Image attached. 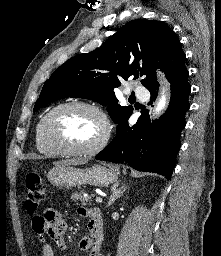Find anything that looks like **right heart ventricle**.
<instances>
[{"mask_svg": "<svg viewBox=\"0 0 221 256\" xmlns=\"http://www.w3.org/2000/svg\"><path fill=\"white\" fill-rule=\"evenodd\" d=\"M41 121H42V119L37 123L36 128H35L36 148L40 153H42L46 156H56L60 153L58 151L54 150L53 148H50L49 146H47L41 139V135H40Z\"/></svg>", "mask_w": 221, "mask_h": 256, "instance_id": "1", "label": "right heart ventricle"}]
</instances>
